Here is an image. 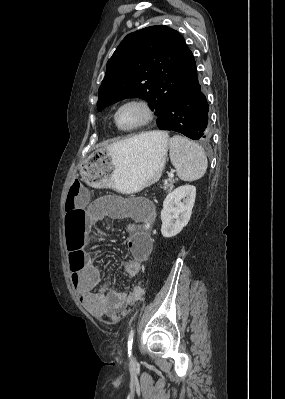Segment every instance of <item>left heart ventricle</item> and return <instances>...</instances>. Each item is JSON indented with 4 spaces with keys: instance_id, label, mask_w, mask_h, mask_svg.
<instances>
[{
    "instance_id": "1",
    "label": "left heart ventricle",
    "mask_w": 285,
    "mask_h": 399,
    "mask_svg": "<svg viewBox=\"0 0 285 399\" xmlns=\"http://www.w3.org/2000/svg\"><path fill=\"white\" fill-rule=\"evenodd\" d=\"M145 117L144 111L139 106H127L118 116V121L123 127H131L141 122Z\"/></svg>"
}]
</instances>
